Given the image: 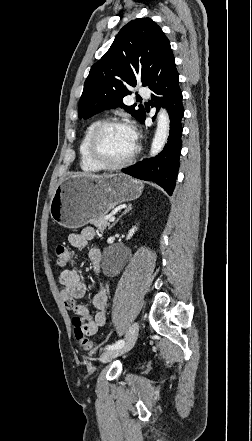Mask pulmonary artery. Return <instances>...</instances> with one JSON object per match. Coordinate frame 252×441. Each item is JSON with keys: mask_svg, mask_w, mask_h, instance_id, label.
<instances>
[{"mask_svg": "<svg viewBox=\"0 0 252 441\" xmlns=\"http://www.w3.org/2000/svg\"><path fill=\"white\" fill-rule=\"evenodd\" d=\"M139 94L141 96L148 97L150 95V90L148 88H145V87L140 88L139 89Z\"/></svg>", "mask_w": 252, "mask_h": 441, "instance_id": "e3ab8cb5", "label": "pulmonary artery"}]
</instances>
